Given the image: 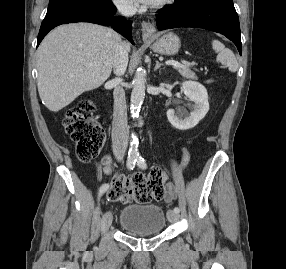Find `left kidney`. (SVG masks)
<instances>
[{"instance_id": "left-kidney-1", "label": "left kidney", "mask_w": 286, "mask_h": 269, "mask_svg": "<svg viewBox=\"0 0 286 269\" xmlns=\"http://www.w3.org/2000/svg\"><path fill=\"white\" fill-rule=\"evenodd\" d=\"M183 93L194 102V110L184 119L177 116L173 109L167 111V118L173 127L179 130H188L195 127L205 117L209 110L208 93L206 88L196 81L182 83Z\"/></svg>"}]
</instances>
